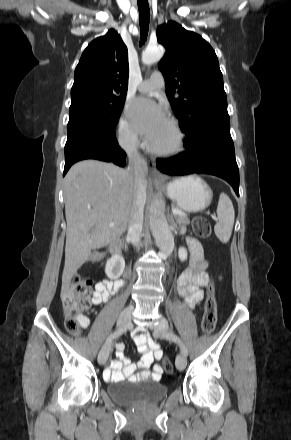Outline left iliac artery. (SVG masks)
Listing matches in <instances>:
<instances>
[{"mask_svg":"<svg viewBox=\"0 0 291 440\" xmlns=\"http://www.w3.org/2000/svg\"><path fill=\"white\" fill-rule=\"evenodd\" d=\"M169 340H172L174 342H176L181 350V353L184 354L185 356H187L188 354V350L185 346V344L183 343V341L175 334V333H170L166 336Z\"/></svg>","mask_w":291,"mask_h":440,"instance_id":"left-iliac-artery-1","label":"left iliac artery"}]
</instances>
